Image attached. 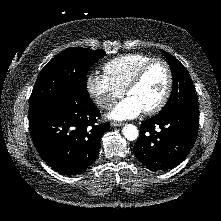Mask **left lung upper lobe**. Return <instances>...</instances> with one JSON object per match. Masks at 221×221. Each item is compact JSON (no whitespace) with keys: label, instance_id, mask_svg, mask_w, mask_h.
<instances>
[{"label":"left lung upper lobe","instance_id":"1","mask_svg":"<svg viewBox=\"0 0 221 221\" xmlns=\"http://www.w3.org/2000/svg\"><path fill=\"white\" fill-rule=\"evenodd\" d=\"M161 53L167 58L173 77V89L166 105L160 112L174 109H183L199 112L198 101L194 91L193 83L186 68L179 60L164 50Z\"/></svg>","mask_w":221,"mask_h":221}]
</instances>
